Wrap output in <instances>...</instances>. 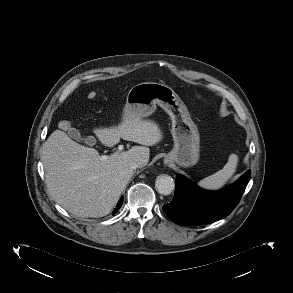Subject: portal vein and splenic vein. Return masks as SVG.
Segmentation results:
<instances>
[{"label":"portal vein and splenic vein","instance_id":"obj_1","mask_svg":"<svg viewBox=\"0 0 293 293\" xmlns=\"http://www.w3.org/2000/svg\"><path fill=\"white\" fill-rule=\"evenodd\" d=\"M123 149H124V146L123 145H119L118 146V150L119 151H122ZM108 157L109 156H107V155H103V156H101V160H106Z\"/></svg>","mask_w":293,"mask_h":293}]
</instances>
